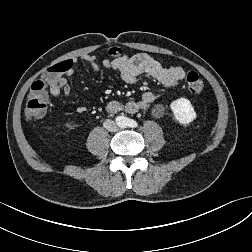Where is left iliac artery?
Returning a JSON list of instances; mask_svg holds the SVG:
<instances>
[{
    "label": "left iliac artery",
    "instance_id": "left-iliac-artery-1",
    "mask_svg": "<svg viewBox=\"0 0 252 252\" xmlns=\"http://www.w3.org/2000/svg\"><path fill=\"white\" fill-rule=\"evenodd\" d=\"M129 126H130V127H132V128H135V127H137V126H138V124H137V122H136V121L131 120V121L129 122Z\"/></svg>",
    "mask_w": 252,
    "mask_h": 252
}]
</instances>
